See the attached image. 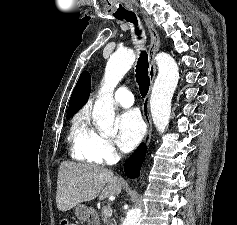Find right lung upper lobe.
<instances>
[{
    "instance_id": "obj_1",
    "label": "right lung upper lobe",
    "mask_w": 237,
    "mask_h": 225,
    "mask_svg": "<svg viewBox=\"0 0 237 225\" xmlns=\"http://www.w3.org/2000/svg\"><path fill=\"white\" fill-rule=\"evenodd\" d=\"M91 91V76L87 71L82 72L70 97L68 115H74L88 100Z\"/></svg>"
}]
</instances>
